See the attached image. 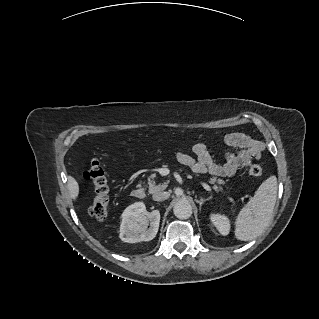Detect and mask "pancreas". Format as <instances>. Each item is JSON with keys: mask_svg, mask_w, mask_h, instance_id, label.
Instances as JSON below:
<instances>
[{"mask_svg": "<svg viewBox=\"0 0 319 319\" xmlns=\"http://www.w3.org/2000/svg\"><path fill=\"white\" fill-rule=\"evenodd\" d=\"M209 182L211 184H218V185H224L225 182L223 179L221 178H217V177H212L209 179ZM148 184H149V193L150 194H153V193H156L158 191H162V190H165L168 186V183H163V184H159V185H156L155 181H154V176H151L150 179L148 180ZM215 189L217 191H220L222 188L219 186L217 187L215 185Z\"/></svg>", "mask_w": 319, "mask_h": 319, "instance_id": "1", "label": "pancreas"}]
</instances>
